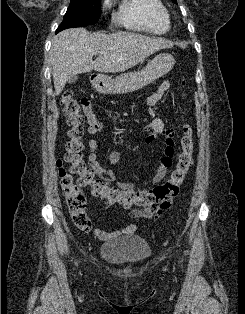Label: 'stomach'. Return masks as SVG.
Returning <instances> with one entry per match:
<instances>
[{
  "label": "stomach",
  "instance_id": "0dacf381",
  "mask_svg": "<svg viewBox=\"0 0 245 314\" xmlns=\"http://www.w3.org/2000/svg\"><path fill=\"white\" fill-rule=\"evenodd\" d=\"M174 64L175 60L171 54L162 53L140 71L122 74L115 79L99 74L92 80V85L102 94H124L137 91L167 74Z\"/></svg>",
  "mask_w": 245,
  "mask_h": 314
}]
</instances>
